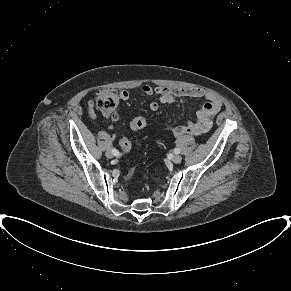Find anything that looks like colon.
<instances>
[{
  "label": "colon",
  "mask_w": 291,
  "mask_h": 291,
  "mask_svg": "<svg viewBox=\"0 0 291 291\" xmlns=\"http://www.w3.org/2000/svg\"><path fill=\"white\" fill-rule=\"evenodd\" d=\"M121 92L106 90L102 91L97 97V106L103 111H111L116 108L119 103ZM147 122L143 117H136L131 122V128L134 130L142 129L146 126ZM120 147L123 154L129 153L131 150V142L127 138H122Z\"/></svg>",
  "instance_id": "1"
}]
</instances>
